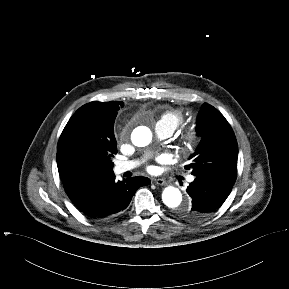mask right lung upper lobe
<instances>
[{"mask_svg": "<svg viewBox=\"0 0 289 289\" xmlns=\"http://www.w3.org/2000/svg\"><path fill=\"white\" fill-rule=\"evenodd\" d=\"M56 159L64 189L75 205L83 204L84 198L95 183L115 177L113 167L90 170L70 163L59 148Z\"/></svg>", "mask_w": 289, "mask_h": 289, "instance_id": "right-lung-upper-lobe-1", "label": "right lung upper lobe"}]
</instances>
